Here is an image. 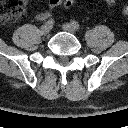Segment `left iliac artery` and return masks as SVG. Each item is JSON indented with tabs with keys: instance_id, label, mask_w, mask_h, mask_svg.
I'll return each mask as SVG.
<instances>
[{
	"instance_id": "44dca946",
	"label": "left iliac artery",
	"mask_w": 128,
	"mask_h": 128,
	"mask_svg": "<svg viewBox=\"0 0 128 128\" xmlns=\"http://www.w3.org/2000/svg\"><path fill=\"white\" fill-rule=\"evenodd\" d=\"M71 25L74 27V29H76V30H79L80 29V25H79V23L78 22H76V21H71Z\"/></svg>"
}]
</instances>
